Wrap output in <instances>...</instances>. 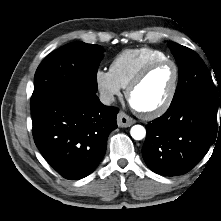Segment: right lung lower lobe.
Instances as JSON below:
<instances>
[{
  "mask_svg": "<svg viewBox=\"0 0 221 221\" xmlns=\"http://www.w3.org/2000/svg\"><path fill=\"white\" fill-rule=\"evenodd\" d=\"M118 111L103 105L87 88L63 87L32 110L35 144L63 178L82 179L102 160Z\"/></svg>",
  "mask_w": 221,
  "mask_h": 221,
  "instance_id": "obj_1",
  "label": "right lung lower lobe"
}]
</instances>
